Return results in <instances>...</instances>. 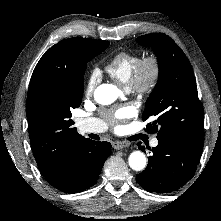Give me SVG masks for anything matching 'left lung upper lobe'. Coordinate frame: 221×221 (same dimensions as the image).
Masks as SVG:
<instances>
[{
  "label": "left lung upper lobe",
  "mask_w": 221,
  "mask_h": 221,
  "mask_svg": "<svg viewBox=\"0 0 221 221\" xmlns=\"http://www.w3.org/2000/svg\"><path fill=\"white\" fill-rule=\"evenodd\" d=\"M137 41L154 49L159 65L157 84L142 115L144 121L151 116L156 120L146 126V131L157 133L158 139H203V107L191 64L184 52L165 34H146Z\"/></svg>",
  "instance_id": "5c2ea615"
}]
</instances>
